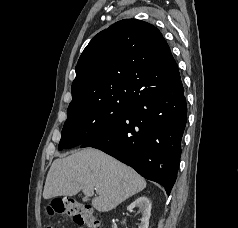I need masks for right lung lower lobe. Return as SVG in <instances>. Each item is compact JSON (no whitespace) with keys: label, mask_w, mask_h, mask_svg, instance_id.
<instances>
[{"label":"right lung lower lobe","mask_w":238,"mask_h":228,"mask_svg":"<svg viewBox=\"0 0 238 228\" xmlns=\"http://www.w3.org/2000/svg\"><path fill=\"white\" fill-rule=\"evenodd\" d=\"M187 105L181 80L133 98L113 125L80 145L93 147L164 186L175 183Z\"/></svg>","instance_id":"right-lung-lower-lobe-1"}]
</instances>
